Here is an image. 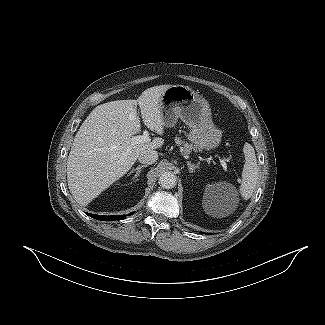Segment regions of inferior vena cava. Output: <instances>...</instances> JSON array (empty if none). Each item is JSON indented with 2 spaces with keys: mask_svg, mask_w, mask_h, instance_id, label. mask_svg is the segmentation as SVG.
Masks as SVG:
<instances>
[{
  "mask_svg": "<svg viewBox=\"0 0 325 325\" xmlns=\"http://www.w3.org/2000/svg\"><path fill=\"white\" fill-rule=\"evenodd\" d=\"M157 159L158 153L155 150H144L138 157L139 162L146 165L155 163Z\"/></svg>",
  "mask_w": 325,
  "mask_h": 325,
  "instance_id": "obj_1",
  "label": "inferior vena cava"
}]
</instances>
